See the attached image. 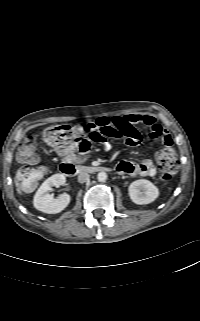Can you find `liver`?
<instances>
[{"instance_id": "liver-1", "label": "liver", "mask_w": 200, "mask_h": 321, "mask_svg": "<svg viewBox=\"0 0 200 321\" xmlns=\"http://www.w3.org/2000/svg\"><path fill=\"white\" fill-rule=\"evenodd\" d=\"M15 185H16V187H17V192H18L19 194H21V189H20V185H19V182H18V179H17V178L15 179Z\"/></svg>"}]
</instances>
